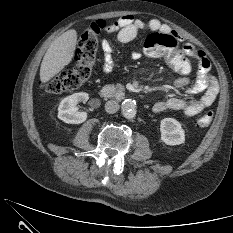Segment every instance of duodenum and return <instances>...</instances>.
<instances>
[{
	"mask_svg": "<svg viewBox=\"0 0 233 233\" xmlns=\"http://www.w3.org/2000/svg\"><path fill=\"white\" fill-rule=\"evenodd\" d=\"M101 97L105 99H112L116 97H123L124 91L122 89L116 88L114 86H103L99 91Z\"/></svg>",
	"mask_w": 233,
	"mask_h": 233,
	"instance_id": "410a0bca",
	"label": "duodenum"
}]
</instances>
